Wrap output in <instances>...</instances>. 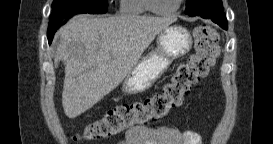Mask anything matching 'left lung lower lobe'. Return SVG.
Returning a JSON list of instances; mask_svg holds the SVG:
<instances>
[{
    "label": "left lung lower lobe",
    "instance_id": "left-lung-lower-lobe-1",
    "mask_svg": "<svg viewBox=\"0 0 273 144\" xmlns=\"http://www.w3.org/2000/svg\"><path fill=\"white\" fill-rule=\"evenodd\" d=\"M203 1L206 4H212V6L201 10L199 13L196 15L206 18V19H211L213 22L217 23L219 26H221L223 29H227V19L224 14V11L222 8H220L218 5L214 4L210 0H200ZM195 15V16H196Z\"/></svg>",
    "mask_w": 273,
    "mask_h": 144
}]
</instances>
